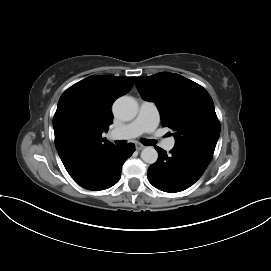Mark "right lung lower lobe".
Returning a JSON list of instances; mask_svg holds the SVG:
<instances>
[{"label":"right lung lower lobe","instance_id":"right-lung-lower-lobe-1","mask_svg":"<svg viewBox=\"0 0 271 271\" xmlns=\"http://www.w3.org/2000/svg\"><path fill=\"white\" fill-rule=\"evenodd\" d=\"M134 151L132 143L108 150L94 165L74 178L75 182L92 191L112 187L120 180L122 165Z\"/></svg>","mask_w":271,"mask_h":271}]
</instances>
